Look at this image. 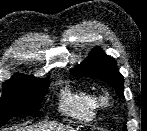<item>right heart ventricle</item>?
Returning a JSON list of instances; mask_svg holds the SVG:
<instances>
[{"mask_svg":"<svg viewBox=\"0 0 147 131\" xmlns=\"http://www.w3.org/2000/svg\"><path fill=\"white\" fill-rule=\"evenodd\" d=\"M59 111L79 121H92L98 112L97 96L89 89L66 86L61 90Z\"/></svg>","mask_w":147,"mask_h":131,"instance_id":"obj_1","label":"right heart ventricle"}]
</instances>
